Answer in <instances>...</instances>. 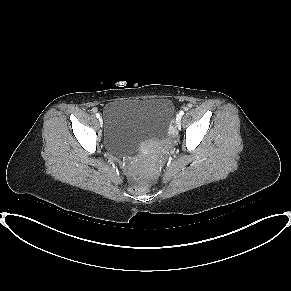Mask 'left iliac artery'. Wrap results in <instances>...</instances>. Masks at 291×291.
Listing matches in <instances>:
<instances>
[{
  "label": "left iliac artery",
  "mask_w": 291,
  "mask_h": 291,
  "mask_svg": "<svg viewBox=\"0 0 291 291\" xmlns=\"http://www.w3.org/2000/svg\"><path fill=\"white\" fill-rule=\"evenodd\" d=\"M179 115L182 117V116L184 115V111L181 110V111L179 112Z\"/></svg>",
  "instance_id": "obj_1"
}]
</instances>
